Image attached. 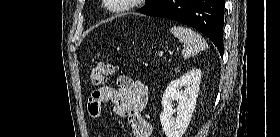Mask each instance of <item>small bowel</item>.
Returning <instances> with one entry per match:
<instances>
[{
	"instance_id": "1",
	"label": "small bowel",
	"mask_w": 280,
	"mask_h": 137,
	"mask_svg": "<svg viewBox=\"0 0 280 137\" xmlns=\"http://www.w3.org/2000/svg\"><path fill=\"white\" fill-rule=\"evenodd\" d=\"M117 88L103 86L91 91L88 112L94 120L101 117L104 104H112L116 116L125 118L134 137H149L151 126L142 111L149 97L147 86L140 80L121 74L116 79Z\"/></svg>"
}]
</instances>
